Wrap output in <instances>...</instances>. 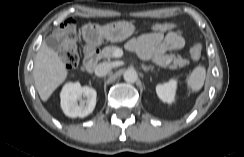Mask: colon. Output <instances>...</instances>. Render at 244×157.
<instances>
[{"mask_svg":"<svg viewBox=\"0 0 244 157\" xmlns=\"http://www.w3.org/2000/svg\"><path fill=\"white\" fill-rule=\"evenodd\" d=\"M176 27L175 23H157L152 26L155 32H166ZM55 38L59 43L58 53L61 56L65 65L73 69L79 63V54L77 50V21L69 19L62 23L55 31ZM201 45L198 42H193L190 49V56L193 60H198L201 57Z\"/></svg>","mask_w":244,"mask_h":157,"instance_id":"1","label":"colon"}]
</instances>
